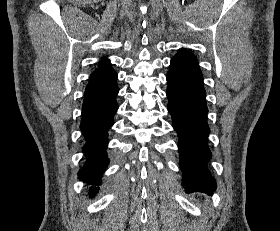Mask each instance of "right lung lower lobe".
<instances>
[{
  "instance_id": "obj_1",
  "label": "right lung lower lobe",
  "mask_w": 280,
  "mask_h": 231,
  "mask_svg": "<svg viewBox=\"0 0 280 231\" xmlns=\"http://www.w3.org/2000/svg\"><path fill=\"white\" fill-rule=\"evenodd\" d=\"M118 87L107 89L91 97H84L80 129L86 140L82 150L87 156L85 165L80 169V180L98 185L101 174L109 160L106 154L108 130L113 125V116L118 109L116 95ZM98 190L91 187L90 195Z\"/></svg>"
}]
</instances>
